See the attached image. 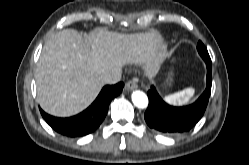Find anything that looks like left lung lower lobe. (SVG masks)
Returning a JSON list of instances; mask_svg holds the SVG:
<instances>
[{
  "instance_id": "0a47b994",
  "label": "left lung lower lobe",
  "mask_w": 249,
  "mask_h": 165,
  "mask_svg": "<svg viewBox=\"0 0 249 165\" xmlns=\"http://www.w3.org/2000/svg\"><path fill=\"white\" fill-rule=\"evenodd\" d=\"M207 66V86L198 100L188 106L174 107L159 96L154 86L148 91L149 105L144 114L147 125L158 132L176 135L190 131L202 118L211 93V63Z\"/></svg>"
}]
</instances>
